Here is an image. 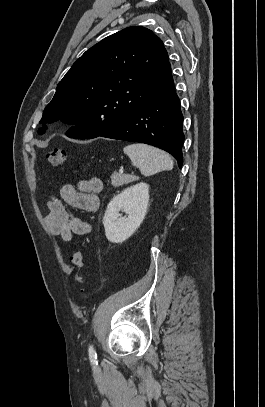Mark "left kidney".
Masks as SVG:
<instances>
[{"label": "left kidney", "mask_w": 265, "mask_h": 407, "mask_svg": "<svg viewBox=\"0 0 265 407\" xmlns=\"http://www.w3.org/2000/svg\"><path fill=\"white\" fill-rule=\"evenodd\" d=\"M149 202V185L140 182L115 196L107 206L103 225L111 243H122L139 228ZM124 211L127 216H122Z\"/></svg>", "instance_id": "1"}]
</instances>
